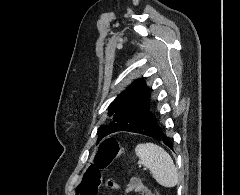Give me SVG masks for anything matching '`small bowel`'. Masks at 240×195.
<instances>
[{
  "mask_svg": "<svg viewBox=\"0 0 240 195\" xmlns=\"http://www.w3.org/2000/svg\"><path fill=\"white\" fill-rule=\"evenodd\" d=\"M120 186H114L115 190H118ZM125 191L128 194L138 193L139 195H152V191L145 186L138 177L130 178Z\"/></svg>",
  "mask_w": 240,
  "mask_h": 195,
  "instance_id": "obj_1",
  "label": "small bowel"
}]
</instances>
